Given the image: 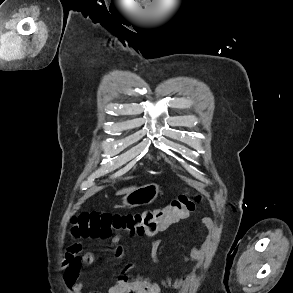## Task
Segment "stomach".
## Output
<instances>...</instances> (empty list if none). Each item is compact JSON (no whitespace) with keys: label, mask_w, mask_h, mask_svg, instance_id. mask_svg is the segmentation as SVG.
Returning <instances> with one entry per match:
<instances>
[{"label":"stomach","mask_w":293,"mask_h":293,"mask_svg":"<svg viewBox=\"0 0 293 293\" xmlns=\"http://www.w3.org/2000/svg\"><path fill=\"white\" fill-rule=\"evenodd\" d=\"M159 194V186L157 184H148L140 188H136L127 193L122 202L124 206L137 207L141 205L151 204Z\"/></svg>","instance_id":"1"}]
</instances>
